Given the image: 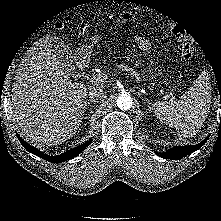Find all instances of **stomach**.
<instances>
[{
	"instance_id": "1",
	"label": "stomach",
	"mask_w": 221,
	"mask_h": 221,
	"mask_svg": "<svg viewBox=\"0 0 221 221\" xmlns=\"http://www.w3.org/2000/svg\"><path fill=\"white\" fill-rule=\"evenodd\" d=\"M134 14L129 11H123L118 13V16H116L114 23L116 26L123 25L127 22H130L132 18H134ZM99 39L98 36H93L92 37V43L95 44L97 40ZM78 54L79 56L83 57L84 59L87 58L90 54V49L87 46H83L78 49Z\"/></svg>"
}]
</instances>
